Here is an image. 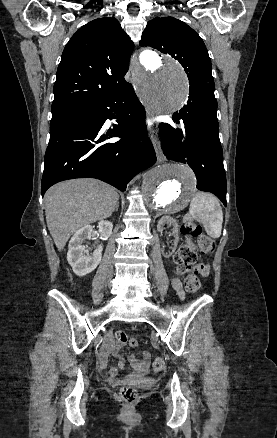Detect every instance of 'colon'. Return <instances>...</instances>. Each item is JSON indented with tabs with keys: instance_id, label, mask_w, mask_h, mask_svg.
Here are the masks:
<instances>
[{
	"instance_id": "colon-1",
	"label": "colon",
	"mask_w": 277,
	"mask_h": 438,
	"mask_svg": "<svg viewBox=\"0 0 277 438\" xmlns=\"http://www.w3.org/2000/svg\"><path fill=\"white\" fill-rule=\"evenodd\" d=\"M181 233L186 238V242L176 250L174 260L179 267V273L185 275L184 286L186 291L197 293L201 288V281L198 276H206L209 273V264L198 262L197 253L210 254L213 252L215 244L210 237L203 234V228L197 222L184 221L181 225ZM115 337L120 344L136 345L135 340L128 339L126 333L122 330H117ZM163 367L164 363L161 358H156L153 361L152 370L154 373H160ZM116 396L121 398L122 402H127L128 409H135L141 391L140 389H117Z\"/></svg>"
}]
</instances>
